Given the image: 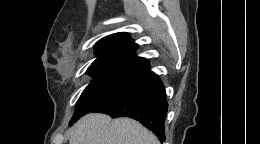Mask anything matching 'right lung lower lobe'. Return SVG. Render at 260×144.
<instances>
[{"label":"right lung lower lobe","instance_id":"1","mask_svg":"<svg viewBox=\"0 0 260 144\" xmlns=\"http://www.w3.org/2000/svg\"><path fill=\"white\" fill-rule=\"evenodd\" d=\"M167 108L163 83L158 75L146 67L120 91L91 112L105 113L112 118H133L156 134L160 141H165ZM73 123L70 122L69 125Z\"/></svg>","mask_w":260,"mask_h":144}]
</instances>
